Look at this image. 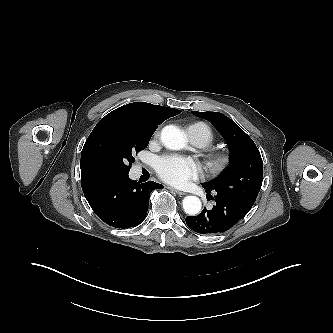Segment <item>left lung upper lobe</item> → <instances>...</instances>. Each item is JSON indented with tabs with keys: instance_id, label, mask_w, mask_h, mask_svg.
Returning <instances> with one entry per match:
<instances>
[{
	"instance_id": "5c2ea615",
	"label": "left lung upper lobe",
	"mask_w": 333,
	"mask_h": 333,
	"mask_svg": "<svg viewBox=\"0 0 333 333\" xmlns=\"http://www.w3.org/2000/svg\"><path fill=\"white\" fill-rule=\"evenodd\" d=\"M193 114L214 125L229 144L232 154V165L203 184L254 204L263 181V161L253 140L233 120L219 112L193 111Z\"/></svg>"
}]
</instances>
